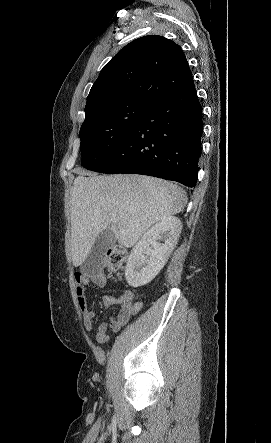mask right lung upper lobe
Segmentation results:
<instances>
[{"label":"right lung upper lobe","instance_id":"obj_1","mask_svg":"<svg viewBox=\"0 0 271 443\" xmlns=\"http://www.w3.org/2000/svg\"><path fill=\"white\" fill-rule=\"evenodd\" d=\"M183 50L162 36H144L126 45L100 72L87 97L86 117L107 103L147 102L193 85Z\"/></svg>","mask_w":271,"mask_h":443}]
</instances>
